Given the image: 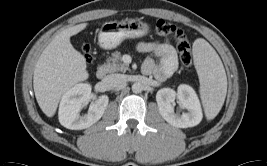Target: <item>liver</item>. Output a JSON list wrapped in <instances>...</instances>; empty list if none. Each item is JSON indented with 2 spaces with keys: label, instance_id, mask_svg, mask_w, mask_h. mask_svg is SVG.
<instances>
[{
  "label": "liver",
  "instance_id": "liver-1",
  "mask_svg": "<svg viewBox=\"0 0 267 166\" xmlns=\"http://www.w3.org/2000/svg\"><path fill=\"white\" fill-rule=\"evenodd\" d=\"M86 26L87 23H81L60 32L43 50L36 63L33 76L35 97L48 117L54 116L63 94L88 78L85 57L70 43V37Z\"/></svg>",
  "mask_w": 267,
  "mask_h": 166
}]
</instances>
